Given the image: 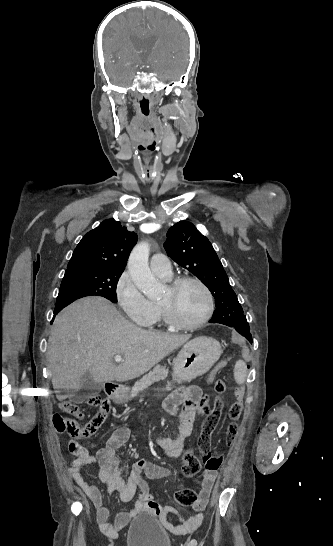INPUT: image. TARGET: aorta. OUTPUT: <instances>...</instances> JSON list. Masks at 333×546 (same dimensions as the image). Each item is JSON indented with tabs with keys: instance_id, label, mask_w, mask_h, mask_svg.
Masks as SVG:
<instances>
[{
	"instance_id": "obj_1",
	"label": "aorta",
	"mask_w": 333,
	"mask_h": 546,
	"mask_svg": "<svg viewBox=\"0 0 333 546\" xmlns=\"http://www.w3.org/2000/svg\"><path fill=\"white\" fill-rule=\"evenodd\" d=\"M149 251L150 247L146 242L136 245L129 256L127 266L138 289L146 296L153 297L157 283L149 268Z\"/></svg>"
}]
</instances>
